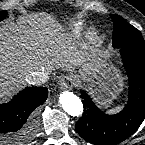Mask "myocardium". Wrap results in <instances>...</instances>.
Masks as SVG:
<instances>
[{"label":"myocardium","mask_w":145,"mask_h":145,"mask_svg":"<svg viewBox=\"0 0 145 145\" xmlns=\"http://www.w3.org/2000/svg\"><path fill=\"white\" fill-rule=\"evenodd\" d=\"M98 39V33L95 29L90 28L87 31V40L90 44H94L97 42Z\"/></svg>","instance_id":"obj_1"}]
</instances>
